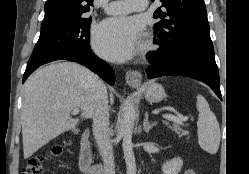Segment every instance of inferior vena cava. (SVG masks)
<instances>
[{
  "mask_svg": "<svg viewBox=\"0 0 249 174\" xmlns=\"http://www.w3.org/2000/svg\"><path fill=\"white\" fill-rule=\"evenodd\" d=\"M92 118L93 135L104 163L105 174H115L113 149L109 136L108 95L103 82L98 86Z\"/></svg>",
  "mask_w": 249,
  "mask_h": 174,
  "instance_id": "1",
  "label": "inferior vena cava"
}]
</instances>
